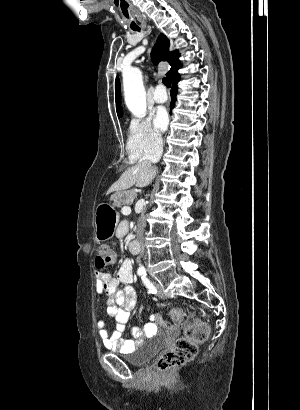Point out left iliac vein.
<instances>
[{
    "mask_svg": "<svg viewBox=\"0 0 300 410\" xmlns=\"http://www.w3.org/2000/svg\"><path fill=\"white\" fill-rule=\"evenodd\" d=\"M156 288H157V295H158V297H160L161 299H166L167 296H166V294L163 292L162 286H161L159 283L156 284Z\"/></svg>",
    "mask_w": 300,
    "mask_h": 410,
    "instance_id": "left-iliac-vein-1",
    "label": "left iliac vein"
}]
</instances>
